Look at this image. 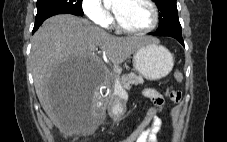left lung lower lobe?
<instances>
[{"instance_id":"1","label":"left lung lower lobe","mask_w":227,"mask_h":142,"mask_svg":"<svg viewBox=\"0 0 227 142\" xmlns=\"http://www.w3.org/2000/svg\"><path fill=\"white\" fill-rule=\"evenodd\" d=\"M150 34H154V35H158V36H171V37L177 39L184 46L182 34H180V33H174V32H171V31H164V32L156 31V32L150 33Z\"/></svg>"}]
</instances>
